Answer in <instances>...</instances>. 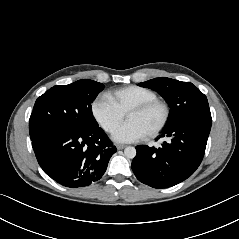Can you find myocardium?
Masks as SVG:
<instances>
[{
	"instance_id": "obj_1",
	"label": "myocardium",
	"mask_w": 239,
	"mask_h": 239,
	"mask_svg": "<svg viewBox=\"0 0 239 239\" xmlns=\"http://www.w3.org/2000/svg\"><path fill=\"white\" fill-rule=\"evenodd\" d=\"M154 108H159L161 110L162 117L159 124L150 133L146 135L147 138H154L158 136L167 126L169 118H170V108L168 104L162 100L155 99V100H151V101L139 104L137 106H134L126 113V115L128 116L129 114H132V113L147 112Z\"/></svg>"
}]
</instances>
